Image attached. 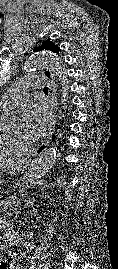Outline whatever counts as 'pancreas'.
Returning a JSON list of instances; mask_svg holds the SVG:
<instances>
[{
	"mask_svg": "<svg viewBox=\"0 0 118 269\" xmlns=\"http://www.w3.org/2000/svg\"><path fill=\"white\" fill-rule=\"evenodd\" d=\"M14 189V183L13 182H8L7 187H1L0 191L1 192H11Z\"/></svg>",
	"mask_w": 118,
	"mask_h": 269,
	"instance_id": "obj_1",
	"label": "pancreas"
}]
</instances>
